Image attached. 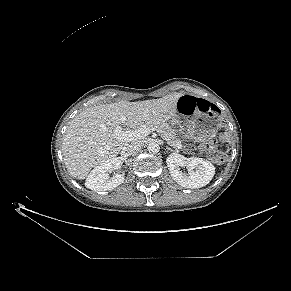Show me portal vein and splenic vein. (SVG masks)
<instances>
[{
	"label": "portal vein and splenic vein",
	"mask_w": 291,
	"mask_h": 291,
	"mask_svg": "<svg viewBox=\"0 0 291 291\" xmlns=\"http://www.w3.org/2000/svg\"><path fill=\"white\" fill-rule=\"evenodd\" d=\"M152 129L148 127H141L135 130H128V131H122L121 127H117L114 130L115 136L118 140L122 142H131V141H137L139 139H143L146 137ZM179 149L182 148L181 143L177 145Z\"/></svg>",
	"instance_id": "portal-vein-and-splenic-vein-1"
}]
</instances>
